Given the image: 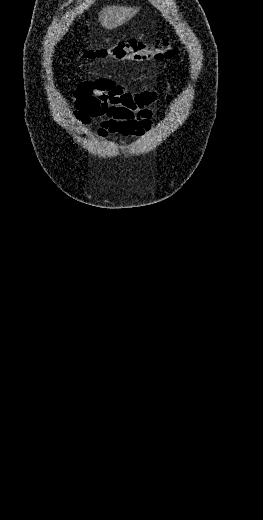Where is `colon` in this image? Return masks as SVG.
Masks as SVG:
<instances>
[{"label": "colon", "mask_w": 263, "mask_h": 520, "mask_svg": "<svg viewBox=\"0 0 263 520\" xmlns=\"http://www.w3.org/2000/svg\"><path fill=\"white\" fill-rule=\"evenodd\" d=\"M178 54V49L167 40L147 44L139 39L120 40L107 47L89 50L88 59H114L117 61L143 62L169 59Z\"/></svg>", "instance_id": "5ec220e1"}]
</instances>
